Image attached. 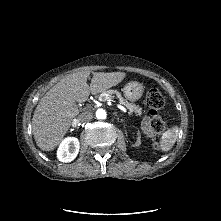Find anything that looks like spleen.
Wrapping results in <instances>:
<instances>
[{
  "instance_id": "spleen-1",
  "label": "spleen",
  "mask_w": 221,
  "mask_h": 221,
  "mask_svg": "<svg viewBox=\"0 0 221 221\" xmlns=\"http://www.w3.org/2000/svg\"><path fill=\"white\" fill-rule=\"evenodd\" d=\"M177 138L176 128L168 129L161 137V149L168 151L172 148Z\"/></svg>"
}]
</instances>
